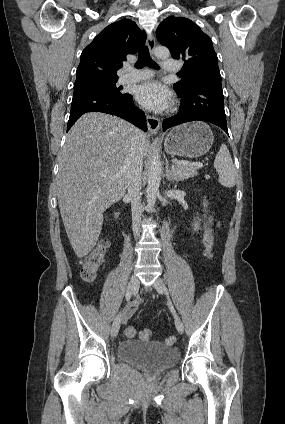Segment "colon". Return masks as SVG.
Returning a JSON list of instances; mask_svg holds the SVG:
<instances>
[{
    "instance_id": "colon-1",
    "label": "colon",
    "mask_w": 285,
    "mask_h": 424,
    "mask_svg": "<svg viewBox=\"0 0 285 424\" xmlns=\"http://www.w3.org/2000/svg\"><path fill=\"white\" fill-rule=\"evenodd\" d=\"M203 206L206 208L208 206L207 201H204ZM214 236L213 229L210 224H208L204 231L203 236V245H204V256L207 260H211L213 257L212 248H213ZM109 248V242L106 239H102L98 242L95 248L87 254L81 260V278L84 281L90 282L93 281L102 267ZM136 330L133 327H128L125 331V335L129 338L134 337ZM152 336L150 330H142L140 332L141 339L148 340ZM174 337H168L166 342L168 344L175 343Z\"/></svg>"
}]
</instances>
